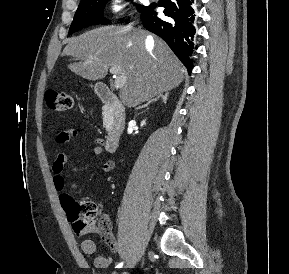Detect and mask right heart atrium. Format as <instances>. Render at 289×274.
<instances>
[{
    "label": "right heart atrium",
    "instance_id": "1",
    "mask_svg": "<svg viewBox=\"0 0 289 274\" xmlns=\"http://www.w3.org/2000/svg\"><path fill=\"white\" fill-rule=\"evenodd\" d=\"M126 7L124 0H109L107 3L108 12L113 16L122 15Z\"/></svg>",
    "mask_w": 289,
    "mask_h": 274
}]
</instances>
